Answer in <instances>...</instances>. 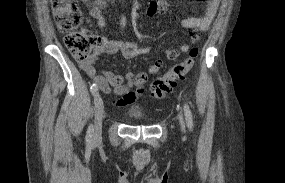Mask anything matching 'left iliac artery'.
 Segmentation results:
<instances>
[{"mask_svg":"<svg viewBox=\"0 0 285 183\" xmlns=\"http://www.w3.org/2000/svg\"><path fill=\"white\" fill-rule=\"evenodd\" d=\"M184 113H185V119L187 122V125L190 129L193 127V118H192V113L187 104H184Z\"/></svg>","mask_w":285,"mask_h":183,"instance_id":"44dca946","label":"left iliac artery"}]
</instances>
